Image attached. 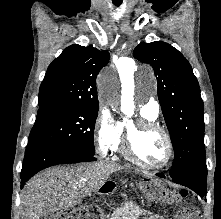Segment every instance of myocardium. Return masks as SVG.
I'll return each instance as SVG.
<instances>
[{
	"mask_svg": "<svg viewBox=\"0 0 221 219\" xmlns=\"http://www.w3.org/2000/svg\"><path fill=\"white\" fill-rule=\"evenodd\" d=\"M143 130L149 131H157L162 134L164 137L166 144H167V155L164 162L161 165H149L143 162L135 153L134 150V139L135 136ZM122 153L123 155L133 162L134 164L138 165L139 167L150 170V171H161L165 170L170 166L172 160L174 158V144L170 134L164 129L160 124L155 121L140 118L134 121L131 124H128L125 128V132L123 135L122 141Z\"/></svg>",
	"mask_w": 221,
	"mask_h": 219,
	"instance_id": "f54148a6",
	"label": "myocardium"
}]
</instances>
